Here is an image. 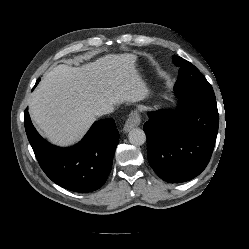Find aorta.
Here are the masks:
<instances>
[{"label":"aorta","mask_w":249,"mask_h":249,"mask_svg":"<svg viewBox=\"0 0 249 249\" xmlns=\"http://www.w3.org/2000/svg\"><path fill=\"white\" fill-rule=\"evenodd\" d=\"M128 138L130 143L136 146L143 145L146 141V135L140 128L132 129L128 134Z\"/></svg>","instance_id":"1"}]
</instances>
